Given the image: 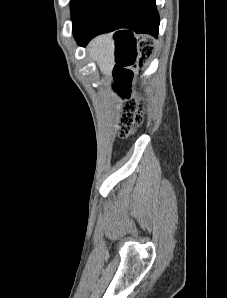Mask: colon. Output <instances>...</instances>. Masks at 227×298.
<instances>
[{"mask_svg": "<svg viewBox=\"0 0 227 298\" xmlns=\"http://www.w3.org/2000/svg\"><path fill=\"white\" fill-rule=\"evenodd\" d=\"M153 53V46L149 43L142 45L140 50V59L146 61ZM131 65L130 57L127 58L123 64L122 69L118 73L116 80V90L122 98H127L130 91V86L133 78V71L129 69ZM137 104L128 103L125 106V113L123 116V126L121 128L120 136L127 138L134 132V126L143 123L142 116L136 114Z\"/></svg>", "mask_w": 227, "mask_h": 298, "instance_id": "1", "label": "colon"}]
</instances>
